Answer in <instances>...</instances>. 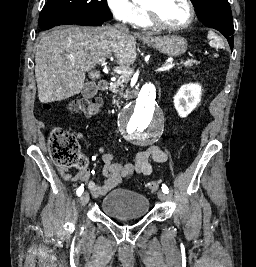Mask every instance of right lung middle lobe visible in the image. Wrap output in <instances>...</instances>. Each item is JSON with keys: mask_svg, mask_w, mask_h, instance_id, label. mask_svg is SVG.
I'll use <instances>...</instances> for the list:
<instances>
[{"mask_svg": "<svg viewBox=\"0 0 256 267\" xmlns=\"http://www.w3.org/2000/svg\"><path fill=\"white\" fill-rule=\"evenodd\" d=\"M112 18L106 0H47L39 26L46 30L50 25L75 19L107 21Z\"/></svg>", "mask_w": 256, "mask_h": 267, "instance_id": "1", "label": "right lung middle lobe"}]
</instances>
